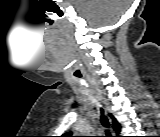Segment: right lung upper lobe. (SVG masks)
<instances>
[{"mask_svg": "<svg viewBox=\"0 0 160 137\" xmlns=\"http://www.w3.org/2000/svg\"><path fill=\"white\" fill-rule=\"evenodd\" d=\"M111 118L113 119V128L114 130L119 133L121 130L120 124L116 121V119L111 115Z\"/></svg>", "mask_w": 160, "mask_h": 137, "instance_id": "right-lung-upper-lobe-1", "label": "right lung upper lobe"}]
</instances>
